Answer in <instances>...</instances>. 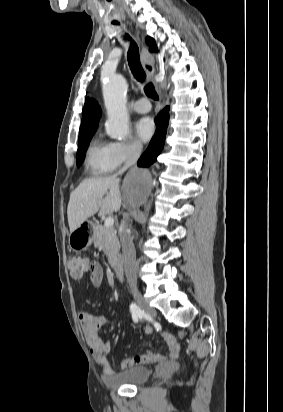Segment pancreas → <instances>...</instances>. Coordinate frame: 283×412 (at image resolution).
<instances>
[{"mask_svg":"<svg viewBox=\"0 0 283 412\" xmlns=\"http://www.w3.org/2000/svg\"><path fill=\"white\" fill-rule=\"evenodd\" d=\"M94 245L103 250L111 265L115 264L120 244L113 227L96 225L94 228Z\"/></svg>","mask_w":283,"mask_h":412,"instance_id":"obj_1","label":"pancreas"}]
</instances>
